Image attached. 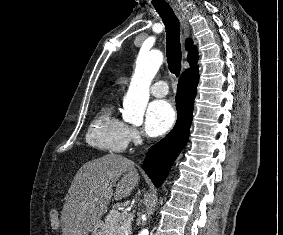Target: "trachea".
I'll list each match as a JSON object with an SVG mask.
<instances>
[{"label":"trachea","instance_id":"obj_1","mask_svg":"<svg viewBox=\"0 0 283 235\" xmlns=\"http://www.w3.org/2000/svg\"><path fill=\"white\" fill-rule=\"evenodd\" d=\"M153 6L161 16L166 28V56L168 69L175 76H179L182 56L179 20L168 3L156 2L153 3Z\"/></svg>","mask_w":283,"mask_h":235}]
</instances>
